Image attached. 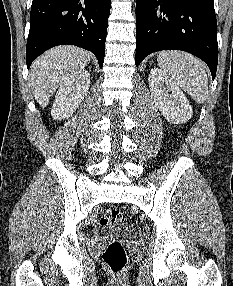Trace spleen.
<instances>
[{"label": "spleen", "instance_id": "3e777b00", "mask_svg": "<svg viewBox=\"0 0 233 286\" xmlns=\"http://www.w3.org/2000/svg\"><path fill=\"white\" fill-rule=\"evenodd\" d=\"M159 67L196 102L202 104L208 97L206 64L190 53L178 50L161 51L157 55Z\"/></svg>", "mask_w": 233, "mask_h": 286}]
</instances>
